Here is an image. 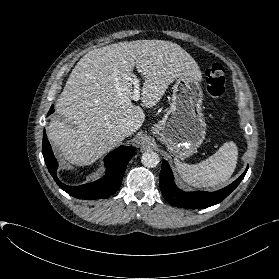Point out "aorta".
<instances>
[{"instance_id":"aorta-1","label":"aorta","mask_w":279,"mask_h":279,"mask_svg":"<svg viewBox=\"0 0 279 279\" xmlns=\"http://www.w3.org/2000/svg\"><path fill=\"white\" fill-rule=\"evenodd\" d=\"M141 162L145 167L154 168L159 164L160 158L156 152L147 151L142 154Z\"/></svg>"}]
</instances>
